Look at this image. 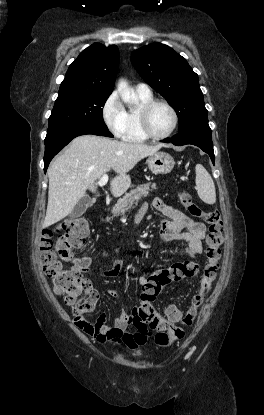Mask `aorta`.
I'll return each mask as SVG.
<instances>
[{
  "label": "aorta",
  "mask_w": 264,
  "mask_h": 415,
  "mask_svg": "<svg viewBox=\"0 0 264 415\" xmlns=\"http://www.w3.org/2000/svg\"><path fill=\"white\" fill-rule=\"evenodd\" d=\"M117 90L125 103L129 105L138 103L135 93L129 88L128 83L124 79L119 80Z\"/></svg>",
  "instance_id": "obj_1"
}]
</instances>
